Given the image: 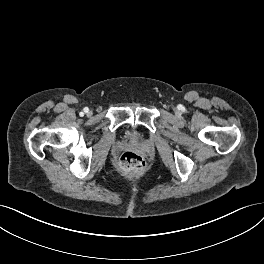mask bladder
Wrapping results in <instances>:
<instances>
[{
    "label": "bladder",
    "mask_w": 264,
    "mask_h": 264,
    "mask_svg": "<svg viewBox=\"0 0 264 264\" xmlns=\"http://www.w3.org/2000/svg\"><path fill=\"white\" fill-rule=\"evenodd\" d=\"M124 137L131 142H138L141 139V134L133 127H128L124 131Z\"/></svg>",
    "instance_id": "obj_1"
}]
</instances>
